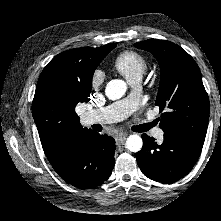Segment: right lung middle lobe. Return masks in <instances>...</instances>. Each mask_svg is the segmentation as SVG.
I'll return each instance as SVG.
<instances>
[{
  "instance_id": "dd1d6c3e",
  "label": "right lung middle lobe",
  "mask_w": 221,
  "mask_h": 221,
  "mask_svg": "<svg viewBox=\"0 0 221 221\" xmlns=\"http://www.w3.org/2000/svg\"><path fill=\"white\" fill-rule=\"evenodd\" d=\"M116 44L115 43H111V44H108L107 45V48L105 49L104 51V55L103 57L95 64L91 65L90 66V69L85 73L84 75V80H86L87 82H89L91 84L92 82V76H93V72L95 70V68L99 65V63L103 60V58L113 49L115 48ZM83 92L86 93L87 92V95L89 96V90L86 89L84 86H83ZM89 99H87L86 101H88Z\"/></svg>"
}]
</instances>
